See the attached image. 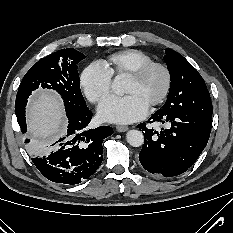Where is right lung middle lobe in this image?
Returning a JSON list of instances; mask_svg holds the SVG:
<instances>
[{
    "instance_id": "dd1d6c3e",
    "label": "right lung middle lobe",
    "mask_w": 233,
    "mask_h": 233,
    "mask_svg": "<svg viewBox=\"0 0 233 233\" xmlns=\"http://www.w3.org/2000/svg\"><path fill=\"white\" fill-rule=\"evenodd\" d=\"M85 57L79 51L68 48L59 50L35 63L20 83L15 102L16 114L18 116L25 114L27 98L38 87L57 91L64 100L66 110L75 111L86 108V102L80 90L77 68V64ZM21 131L22 133L27 131L25 125L21 127ZM55 140L44 144L35 142L32 146L38 150L48 151L53 148Z\"/></svg>"
}]
</instances>
